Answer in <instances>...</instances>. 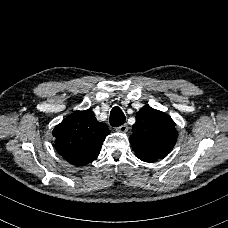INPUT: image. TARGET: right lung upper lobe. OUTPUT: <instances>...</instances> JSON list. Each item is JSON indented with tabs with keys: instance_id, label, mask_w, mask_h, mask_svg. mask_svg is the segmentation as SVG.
<instances>
[{
	"instance_id": "cb5924a9",
	"label": "right lung upper lobe",
	"mask_w": 228,
	"mask_h": 228,
	"mask_svg": "<svg viewBox=\"0 0 228 228\" xmlns=\"http://www.w3.org/2000/svg\"><path fill=\"white\" fill-rule=\"evenodd\" d=\"M106 124L98 122L93 111H75L53 130L57 152L73 165H87L95 160L105 137Z\"/></svg>"
}]
</instances>
